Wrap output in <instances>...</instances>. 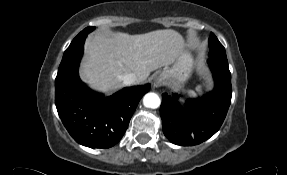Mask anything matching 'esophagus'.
Returning a JSON list of instances; mask_svg holds the SVG:
<instances>
[{"label": "esophagus", "mask_w": 287, "mask_h": 175, "mask_svg": "<svg viewBox=\"0 0 287 175\" xmlns=\"http://www.w3.org/2000/svg\"><path fill=\"white\" fill-rule=\"evenodd\" d=\"M154 85L157 87V86H161V82L160 81H158V80H156L155 82H154Z\"/></svg>", "instance_id": "esophagus-1"}]
</instances>
